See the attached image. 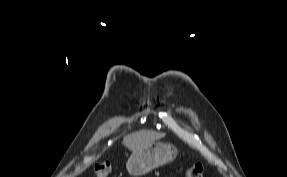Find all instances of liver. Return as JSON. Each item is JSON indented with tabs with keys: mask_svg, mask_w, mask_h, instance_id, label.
Returning <instances> with one entry per match:
<instances>
[{
	"mask_svg": "<svg viewBox=\"0 0 287 177\" xmlns=\"http://www.w3.org/2000/svg\"><path fill=\"white\" fill-rule=\"evenodd\" d=\"M164 136V133L142 130L125 136L123 139V144L129 150L134 151L144 148L154 143L156 140L163 138Z\"/></svg>",
	"mask_w": 287,
	"mask_h": 177,
	"instance_id": "1",
	"label": "liver"
}]
</instances>
